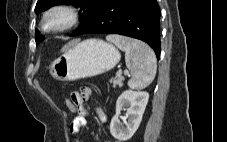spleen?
<instances>
[{"instance_id": "obj_1", "label": "spleen", "mask_w": 227, "mask_h": 142, "mask_svg": "<svg viewBox=\"0 0 227 142\" xmlns=\"http://www.w3.org/2000/svg\"><path fill=\"white\" fill-rule=\"evenodd\" d=\"M106 40L125 52V62L131 78L128 86L131 89L146 88L155 78L157 59L154 51L144 42L121 35H108Z\"/></svg>"}]
</instances>
